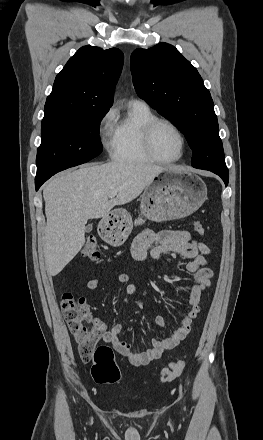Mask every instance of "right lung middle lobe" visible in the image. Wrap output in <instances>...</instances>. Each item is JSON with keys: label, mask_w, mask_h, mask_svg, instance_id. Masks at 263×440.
Listing matches in <instances>:
<instances>
[{"label": "right lung middle lobe", "mask_w": 263, "mask_h": 440, "mask_svg": "<svg viewBox=\"0 0 263 440\" xmlns=\"http://www.w3.org/2000/svg\"><path fill=\"white\" fill-rule=\"evenodd\" d=\"M108 110L44 115L36 179L52 176L98 156L103 146L99 126Z\"/></svg>", "instance_id": "1"}]
</instances>
